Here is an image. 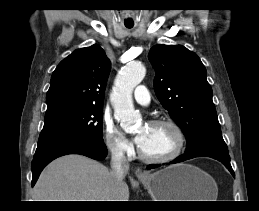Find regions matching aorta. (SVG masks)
I'll use <instances>...</instances> for the list:
<instances>
[{"label": "aorta", "mask_w": 259, "mask_h": 211, "mask_svg": "<svg viewBox=\"0 0 259 211\" xmlns=\"http://www.w3.org/2000/svg\"><path fill=\"white\" fill-rule=\"evenodd\" d=\"M145 74L146 69L142 63L132 62L123 67L116 77L112 103L115 117L120 120L125 131L133 130L141 120L140 114L134 110L132 91Z\"/></svg>", "instance_id": "obj_1"}]
</instances>
